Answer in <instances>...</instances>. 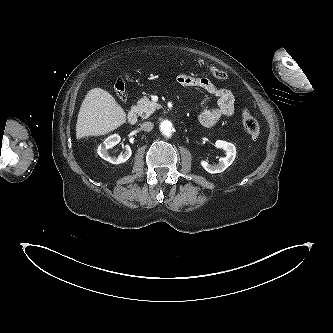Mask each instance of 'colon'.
<instances>
[{
    "instance_id": "1",
    "label": "colon",
    "mask_w": 333,
    "mask_h": 333,
    "mask_svg": "<svg viewBox=\"0 0 333 333\" xmlns=\"http://www.w3.org/2000/svg\"><path fill=\"white\" fill-rule=\"evenodd\" d=\"M211 75L218 80H227L228 75L225 71L216 68H209ZM114 93L116 97L120 100L125 99V84L121 79L116 80L114 85ZM242 123L246 132L253 138L257 139L261 134V129L258 121L252 116L248 109L242 110Z\"/></svg>"
}]
</instances>
